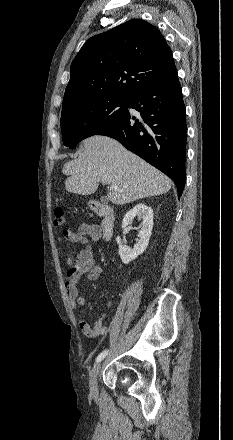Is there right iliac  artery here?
Here are the masks:
<instances>
[{
  "instance_id": "1",
  "label": "right iliac artery",
  "mask_w": 233,
  "mask_h": 440,
  "mask_svg": "<svg viewBox=\"0 0 233 440\" xmlns=\"http://www.w3.org/2000/svg\"><path fill=\"white\" fill-rule=\"evenodd\" d=\"M108 354V350H104L103 352H101L98 357L96 358V362H100L102 361L105 356Z\"/></svg>"
}]
</instances>
